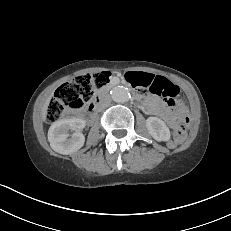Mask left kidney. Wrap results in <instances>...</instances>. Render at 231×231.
I'll return each instance as SVG.
<instances>
[{"mask_svg":"<svg viewBox=\"0 0 231 231\" xmlns=\"http://www.w3.org/2000/svg\"><path fill=\"white\" fill-rule=\"evenodd\" d=\"M146 126L149 134L156 141H168L170 139V130L164 121L157 117H149L146 120Z\"/></svg>","mask_w":231,"mask_h":231,"instance_id":"1","label":"left kidney"}]
</instances>
